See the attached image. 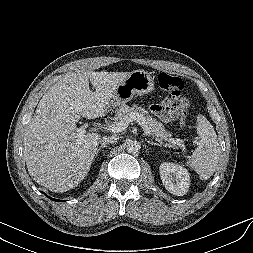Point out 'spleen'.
<instances>
[{
	"instance_id": "3e777b00",
	"label": "spleen",
	"mask_w": 253,
	"mask_h": 253,
	"mask_svg": "<svg viewBox=\"0 0 253 253\" xmlns=\"http://www.w3.org/2000/svg\"><path fill=\"white\" fill-rule=\"evenodd\" d=\"M197 121L198 147L188 158L187 165L196 171L202 180H207L219 163L220 148L211 123L203 115H198Z\"/></svg>"
}]
</instances>
